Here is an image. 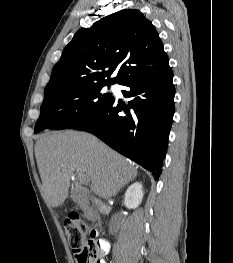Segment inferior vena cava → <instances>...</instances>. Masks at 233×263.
Wrapping results in <instances>:
<instances>
[{
  "mask_svg": "<svg viewBox=\"0 0 233 263\" xmlns=\"http://www.w3.org/2000/svg\"><path fill=\"white\" fill-rule=\"evenodd\" d=\"M97 207L100 210V212L102 213L105 209V205L101 202V201H96Z\"/></svg>",
  "mask_w": 233,
  "mask_h": 263,
  "instance_id": "inferior-vena-cava-1",
  "label": "inferior vena cava"
}]
</instances>
